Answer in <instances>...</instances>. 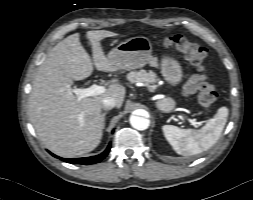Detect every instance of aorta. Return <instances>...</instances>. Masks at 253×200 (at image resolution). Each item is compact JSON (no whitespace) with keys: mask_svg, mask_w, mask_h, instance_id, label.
Returning <instances> with one entry per match:
<instances>
[{"mask_svg":"<svg viewBox=\"0 0 253 200\" xmlns=\"http://www.w3.org/2000/svg\"><path fill=\"white\" fill-rule=\"evenodd\" d=\"M130 124L137 130H146L150 125V121L147 118L132 115L130 117Z\"/></svg>","mask_w":253,"mask_h":200,"instance_id":"obj_1","label":"aorta"}]
</instances>
